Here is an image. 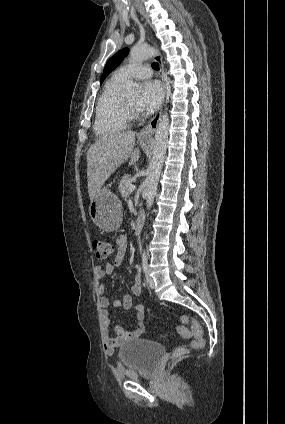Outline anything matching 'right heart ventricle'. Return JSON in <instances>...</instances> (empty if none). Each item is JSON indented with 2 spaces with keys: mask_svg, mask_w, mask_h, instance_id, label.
Segmentation results:
<instances>
[{
  "mask_svg": "<svg viewBox=\"0 0 285 424\" xmlns=\"http://www.w3.org/2000/svg\"><path fill=\"white\" fill-rule=\"evenodd\" d=\"M125 80L114 74L105 84L97 102L94 123L95 134L99 137L117 134L128 126L121 96Z\"/></svg>",
  "mask_w": 285,
  "mask_h": 424,
  "instance_id": "1",
  "label": "right heart ventricle"
}]
</instances>
